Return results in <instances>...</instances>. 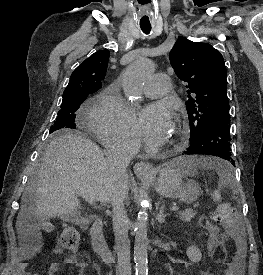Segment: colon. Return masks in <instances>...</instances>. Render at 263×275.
Here are the masks:
<instances>
[{"label": "colon", "mask_w": 263, "mask_h": 275, "mask_svg": "<svg viewBox=\"0 0 263 275\" xmlns=\"http://www.w3.org/2000/svg\"><path fill=\"white\" fill-rule=\"evenodd\" d=\"M213 219L226 228L234 227L233 210L228 205H221L213 214ZM62 245L71 252H76L80 243V233L73 226H64L60 234ZM205 272L202 275H208ZM242 267L240 263L230 264L225 270V275H241Z\"/></svg>", "instance_id": "1"}]
</instances>
